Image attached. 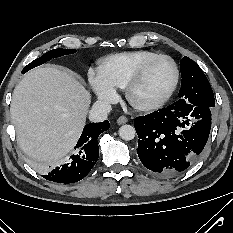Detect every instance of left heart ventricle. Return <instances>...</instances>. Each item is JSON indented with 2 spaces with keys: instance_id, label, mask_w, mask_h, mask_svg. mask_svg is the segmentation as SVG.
<instances>
[{
  "instance_id": "obj_1",
  "label": "left heart ventricle",
  "mask_w": 233,
  "mask_h": 233,
  "mask_svg": "<svg viewBox=\"0 0 233 233\" xmlns=\"http://www.w3.org/2000/svg\"><path fill=\"white\" fill-rule=\"evenodd\" d=\"M174 70L168 59L152 62L132 91L135 102L145 104L161 97L171 84Z\"/></svg>"
}]
</instances>
